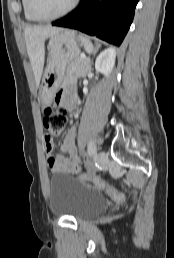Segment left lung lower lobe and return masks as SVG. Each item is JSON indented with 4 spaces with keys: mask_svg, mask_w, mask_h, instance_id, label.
I'll return each instance as SVG.
<instances>
[{
    "mask_svg": "<svg viewBox=\"0 0 174 258\" xmlns=\"http://www.w3.org/2000/svg\"><path fill=\"white\" fill-rule=\"evenodd\" d=\"M139 0H81L78 7L52 25L77 29L119 46L133 21Z\"/></svg>",
    "mask_w": 174,
    "mask_h": 258,
    "instance_id": "obj_1",
    "label": "left lung lower lobe"
}]
</instances>
